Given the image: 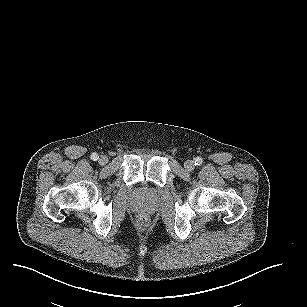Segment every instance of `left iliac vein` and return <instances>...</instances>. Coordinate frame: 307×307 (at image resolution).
I'll use <instances>...</instances> for the list:
<instances>
[{
	"label": "left iliac vein",
	"instance_id": "left-iliac-vein-1",
	"mask_svg": "<svg viewBox=\"0 0 307 307\" xmlns=\"http://www.w3.org/2000/svg\"><path fill=\"white\" fill-rule=\"evenodd\" d=\"M184 167L187 171H192L195 168V163L192 160H187L184 163Z\"/></svg>",
	"mask_w": 307,
	"mask_h": 307
}]
</instances>
